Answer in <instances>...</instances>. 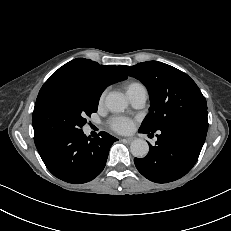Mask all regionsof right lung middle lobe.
I'll use <instances>...</instances> for the list:
<instances>
[{"label":"right lung middle lobe","mask_w":231,"mask_h":231,"mask_svg":"<svg viewBox=\"0 0 231 231\" xmlns=\"http://www.w3.org/2000/svg\"><path fill=\"white\" fill-rule=\"evenodd\" d=\"M103 89L87 79H70L41 88L32 115L34 137L52 138L82 130L97 111Z\"/></svg>","instance_id":"1"}]
</instances>
